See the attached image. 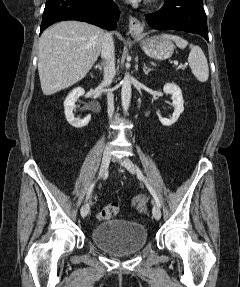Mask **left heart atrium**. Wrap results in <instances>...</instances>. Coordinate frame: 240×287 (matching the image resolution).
Wrapping results in <instances>:
<instances>
[{
	"mask_svg": "<svg viewBox=\"0 0 240 287\" xmlns=\"http://www.w3.org/2000/svg\"><path fill=\"white\" fill-rule=\"evenodd\" d=\"M128 1H139V0H128Z\"/></svg>",
	"mask_w": 240,
	"mask_h": 287,
	"instance_id": "left-heart-atrium-1",
	"label": "left heart atrium"
}]
</instances>
